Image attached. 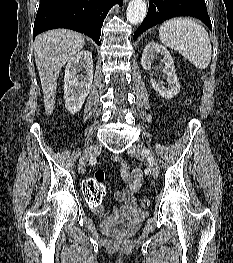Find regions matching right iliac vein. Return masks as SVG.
<instances>
[{
	"label": "right iliac vein",
	"instance_id": "right-iliac-vein-1",
	"mask_svg": "<svg viewBox=\"0 0 233 263\" xmlns=\"http://www.w3.org/2000/svg\"><path fill=\"white\" fill-rule=\"evenodd\" d=\"M102 146L101 144H97L94 146L89 147L87 150H85V152L83 153V155L81 156L80 160H79V170L81 172H84V168L86 163L89 161V159L95 155H97L98 153L101 152Z\"/></svg>",
	"mask_w": 233,
	"mask_h": 263
}]
</instances>
